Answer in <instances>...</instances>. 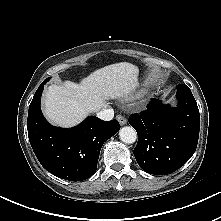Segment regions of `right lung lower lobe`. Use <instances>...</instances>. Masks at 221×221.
<instances>
[{
  "instance_id": "right-lung-lower-lobe-1",
  "label": "right lung lower lobe",
  "mask_w": 221,
  "mask_h": 221,
  "mask_svg": "<svg viewBox=\"0 0 221 221\" xmlns=\"http://www.w3.org/2000/svg\"><path fill=\"white\" fill-rule=\"evenodd\" d=\"M44 80L29 106L27 128L32 149L41 165L53 175L81 181L91 177L96 169L101 147L119 129L116 119L102 121L89 116L74 128L51 126L40 109Z\"/></svg>"
}]
</instances>
